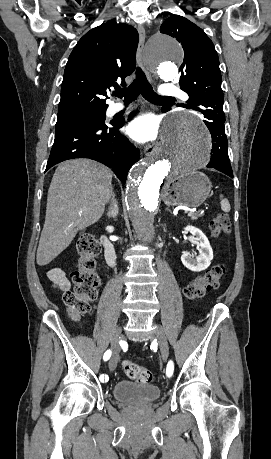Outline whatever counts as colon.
Here are the masks:
<instances>
[{"label":"colon","instance_id":"obj_1","mask_svg":"<svg viewBox=\"0 0 271 459\" xmlns=\"http://www.w3.org/2000/svg\"><path fill=\"white\" fill-rule=\"evenodd\" d=\"M209 226L214 236L227 233L230 229V220L226 214L213 217ZM78 253L77 268L72 273L73 290L66 291L63 295L68 313L73 320H80L91 309V303L97 296L100 277L96 272L97 255L100 245L93 234L82 231L77 239ZM225 269L222 265H215L190 282L185 288V296L190 300L200 299L204 294L219 287ZM124 373L131 379L147 384L152 381V373L136 363L125 360L122 363Z\"/></svg>","mask_w":271,"mask_h":459}]
</instances>
